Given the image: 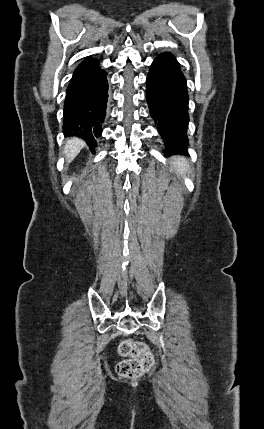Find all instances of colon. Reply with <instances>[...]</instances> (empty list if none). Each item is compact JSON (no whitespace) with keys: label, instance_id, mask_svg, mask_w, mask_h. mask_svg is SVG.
I'll return each instance as SVG.
<instances>
[{"label":"colon","instance_id":"obj_1","mask_svg":"<svg viewBox=\"0 0 264 429\" xmlns=\"http://www.w3.org/2000/svg\"><path fill=\"white\" fill-rule=\"evenodd\" d=\"M118 351L120 355L128 357L117 365V373L122 378H138L154 363L150 349L142 342L125 340L119 345Z\"/></svg>","mask_w":264,"mask_h":429}]
</instances>
